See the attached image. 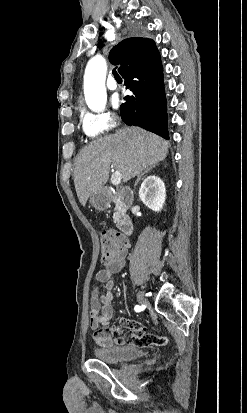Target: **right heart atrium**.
Wrapping results in <instances>:
<instances>
[{
  "instance_id": "1",
  "label": "right heart atrium",
  "mask_w": 247,
  "mask_h": 413,
  "mask_svg": "<svg viewBox=\"0 0 247 413\" xmlns=\"http://www.w3.org/2000/svg\"><path fill=\"white\" fill-rule=\"evenodd\" d=\"M79 106L84 108L86 103L81 101ZM104 111L109 113L111 108L106 106ZM104 111H101V107L99 105H94L92 110H85L83 112L84 126L86 127L87 133H105L106 130L107 132H110L115 127L116 118L113 116H106Z\"/></svg>"
}]
</instances>
